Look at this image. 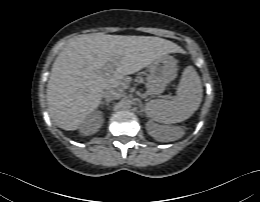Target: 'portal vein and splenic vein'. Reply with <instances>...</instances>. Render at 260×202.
I'll list each match as a JSON object with an SVG mask.
<instances>
[{"label":"portal vein and splenic vein","mask_w":260,"mask_h":202,"mask_svg":"<svg viewBox=\"0 0 260 202\" xmlns=\"http://www.w3.org/2000/svg\"><path fill=\"white\" fill-rule=\"evenodd\" d=\"M114 67H115V62H111L102 69V73L107 76L111 75L114 73Z\"/></svg>","instance_id":"1"}]
</instances>
